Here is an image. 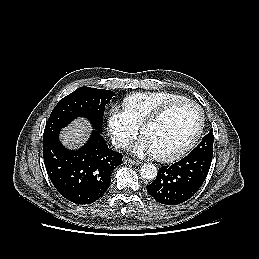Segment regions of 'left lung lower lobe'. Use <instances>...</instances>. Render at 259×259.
I'll use <instances>...</instances> for the list:
<instances>
[{
  "instance_id": "0a47b994",
  "label": "left lung lower lobe",
  "mask_w": 259,
  "mask_h": 259,
  "mask_svg": "<svg viewBox=\"0 0 259 259\" xmlns=\"http://www.w3.org/2000/svg\"><path fill=\"white\" fill-rule=\"evenodd\" d=\"M211 162L210 156L190 153L175 164L159 168L156 179L147 186V191L162 204L185 202L205 181Z\"/></svg>"
}]
</instances>
